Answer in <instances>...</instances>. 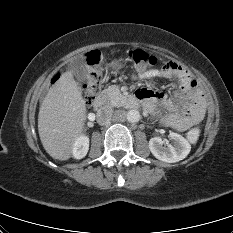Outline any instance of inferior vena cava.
I'll use <instances>...</instances> for the list:
<instances>
[{
  "mask_svg": "<svg viewBox=\"0 0 233 233\" xmlns=\"http://www.w3.org/2000/svg\"><path fill=\"white\" fill-rule=\"evenodd\" d=\"M113 116L114 111L111 106L105 105L97 111V122L99 125H106L111 121Z\"/></svg>",
  "mask_w": 233,
  "mask_h": 233,
  "instance_id": "1",
  "label": "inferior vena cava"
}]
</instances>
